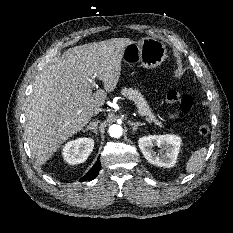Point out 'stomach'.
Returning a JSON list of instances; mask_svg holds the SVG:
<instances>
[{"mask_svg": "<svg viewBox=\"0 0 233 233\" xmlns=\"http://www.w3.org/2000/svg\"><path fill=\"white\" fill-rule=\"evenodd\" d=\"M166 57L167 50L164 43L150 37L129 44L123 52V59L127 63L140 62L146 69L160 66Z\"/></svg>", "mask_w": 233, "mask_h": 233, "instance_id": "0dacf381", "label": "stomach"}]
</instances>
